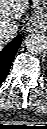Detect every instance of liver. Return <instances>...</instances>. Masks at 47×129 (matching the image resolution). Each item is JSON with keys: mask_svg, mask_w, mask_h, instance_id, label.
Listing matches in <instances>:
<instances>
[{"mask_svg": "<svg viewBox=\"0 0 47 129\" xmlns=\"http://www.w3.org/2000/svg\"><path fill=\"white\" fill-rule=\"evenodd\" d=\"M29 6V0H0V30L13 28L18 29L16 23ZM8 41L0 39V48Z\"/></svg>", "mask_w": 47, "mask_h": 129, "instance_id": "liver-1", "label": "liver"}]
</instances>
